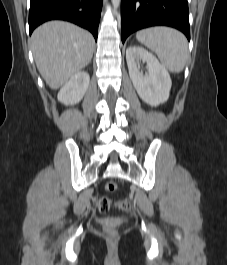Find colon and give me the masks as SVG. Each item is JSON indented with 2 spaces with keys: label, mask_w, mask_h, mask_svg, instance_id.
Returning <instances> with one entry per match:
<instances>
[{
  "label": "colon",
  "mask_w": 227,
  "mask_h": 265,
  "mask_svg": "<svg viewBox=\"0 0 227 265\" xmlns=\"http://www.w3.org/2000/svg\"><path fill=\"white\" fill-rule=\"evenodd\" d=\"M116 188L117 185L114 181H108L105 184V189L109 192H114ZM96 205L100 212L105 213L108 212L111 207V200L107 197H100L98 198ZM117 207L121 212L128 213L131 210V203L129 200L124 199L118 202ZM105 232L110 236L115 235V231L109 227L105 228Z\"/></svg>",
  "instance_id": "obj_1"
}]
</instances>
